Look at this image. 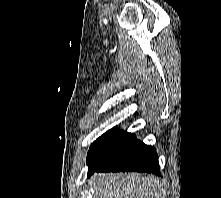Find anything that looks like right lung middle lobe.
<instances>
[{
	"instance_id": "dd1d6c3e",
	"label": "right lung middle lobe",
	"mask_w": 221,
	"mask_h": 198,
	"mask_svg": "<svg viewBox=\"0 0 221 198\" xmlns=\"http://www.w3.org/2000/svg\"><path fill=\"white\" fill-rule=\"evenodd\" d=\"M134 138V134L119 130H110L103 134L91 145L88 151V172L103 165Z\"/></svg>"
}]
</instances>
